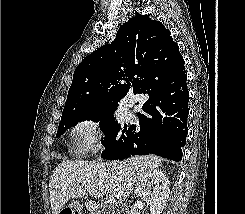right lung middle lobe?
Listing matches in <instances>:
<instances>
[{
  "label": "right lung middle lobe",
  "mask_w": 245,
  "mask_h": 214,
  "mask_svg": "<svg viewBox=\"0 0 245 214\" xmlns=\"http://www.w3.org/2000/svg\"><path fill=\"white\" fill-rule=\"evenodd\" d=\"M114 111L109 110H93L86 112H77L70 114H63L59 123L56 137H60L67 129L76 125L78 122L91 120L94 122H100V127L105 133V138L102 144L106 149L102 152V155L110 148L122 143L125 133L121 131V127L118 122H115Z\"/></svg>",
  "instance_id": "right-lung-middle-lobe-1"
}]
</instances>
